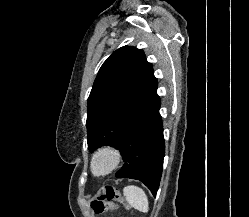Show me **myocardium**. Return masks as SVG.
Instances as JSON below:
<instances>
[{"mask_svg": "<svg viewBox=\"0 0 249 217\" xmlns=\"http://www.w3.org/2000/svg\"><path fill=\"white\" fill-rule=\"evenodd\" d=\"M121 150L111 144L97 148L90 159V171L96 177L111 174L121 163Z\"/></svg>", "mask_w": 249, "mask_h": 217, "instance_id": "obj_1", "label": "myocardium"}]
</instances>
